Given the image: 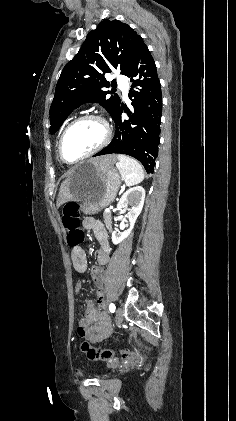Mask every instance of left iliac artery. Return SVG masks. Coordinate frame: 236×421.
Wrapping results in <instances>:
<instances>
[{
	"label": "left iliac artery",
	"mask_w": 236,
	"mask_h": 421,
	"mask_svg": "<svg viewBox=\"0 0 236 421\" xmlns=\"http://www.w3.org/2000/svg\"><path fill=\"white\" fill-rule=\"evenodd\" d=\"M115 309H116L115 305H114L113 303H111V304L109 305V310H110V312H111V313H114V312H115Z\"/></svg>",
	"instance_id": "left-iliac-artery-1"
}]
</instances>
